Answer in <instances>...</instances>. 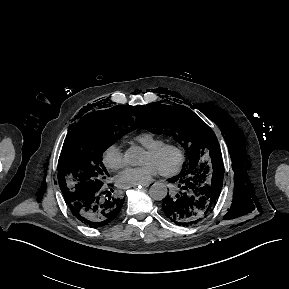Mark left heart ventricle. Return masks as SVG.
Instances as JSON below:
<instances>
[{
  "instance_id": "obj_1",
  "label": "left heart ventricle",
  "mask_w": 289,
  "mask_h": 289,
  "mask_svg": "<svg viewBox=\"0 0 289 289\" xmlns=\"http://www.w3.org/2000/svg\"><path fill=\"white\" fill-rule=\"evenodd\" d=\"M177 161V154L173 150H168L159 156L151 155L145 152L142 164H153L158 170H166L172 168Z\"/></svg>"
}]
</instances>
